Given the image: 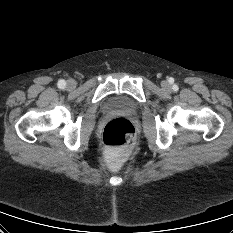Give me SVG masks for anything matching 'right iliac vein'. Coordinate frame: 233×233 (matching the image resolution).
Listing matches in <instances>:
<instances>
[{
    "mask_svg": "<svg viewBox=\"0 0 233 233\" xmlns=\"http://www.w3.org/2000/svg\"><path fill=\"white\" fill-rule=\"evenodd\" d=\"M76 86V82L73 79H70L67 81V88L68 89H74Z\"/></svg>",
    "mask_w": 233,
    "mask_h": 233,
    "instance_id": "right-iliac-vein-1",
    "label": "right iliac vein"
}]
</instances>
